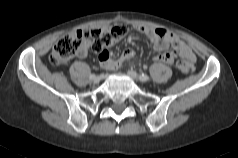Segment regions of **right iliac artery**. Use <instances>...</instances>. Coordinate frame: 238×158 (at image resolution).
Wrapping results in <instances>:
<instances>
[{
  "instance_id": "82829eb1",
  "label": "right iliac artery",
  "mask_w": 238,
  "mask_h": 158,
  "mask_svg": "<svg viewBox=\"0 0 238 158\" xmlns=\"http://www.w3.org/2000/svg\"><path fill=\"white\" fill-rule=\"evenodd\" d=\"M95 77H96L95 74H91L89 78L92 80V79H94Z\"/></svg>"
}]
</instances>
